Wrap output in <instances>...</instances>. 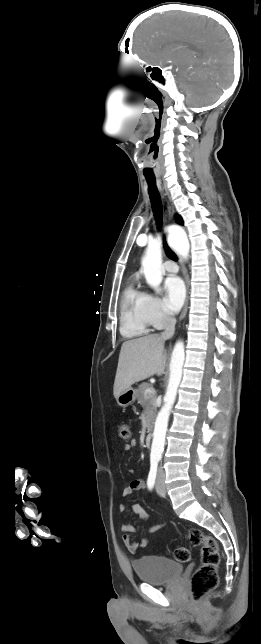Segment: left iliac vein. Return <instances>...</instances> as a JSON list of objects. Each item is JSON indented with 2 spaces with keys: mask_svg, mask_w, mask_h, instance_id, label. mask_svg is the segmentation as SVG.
Here are the masks:
<instances>
[{
  "mask_svg": "<svg viewBox=\"0 0 261 644\" xmlns=\"http://www.w3.org/2000/svg\"><path fill=\"white\" fill-rule=\"evenodd\" d=\"M155 488H156V492L160 496H165L166 489H165L164 478H163V475L161 473V470H159V472H158Z\"/></svg>",
  "mask_w": 261,
  "mask_h": 644,
  "instance_id": "left-iliac-vein-1",
  "label": "left iliac vein"
}]
</instances>
